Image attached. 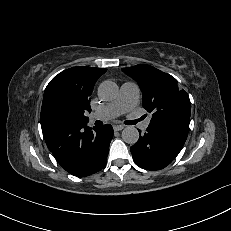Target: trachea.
Masks as SVG:
<instances>
[{
    "instance_id": "1",
    "label": "trachea",
    "mask_w": 231,
    "mask_h": 231,
    "mask_svg": "<svg viewBox=\"0 0 231 231\" xmlns=\"http://www.w3.org/2000/svg\"><path fill=\"white\" fill-rule=\"evenodd\" d=\"M137 121H140V119L139 120L130 121L129 124H131V125L135 124Z\"/></svg>"
}]
</instances>
